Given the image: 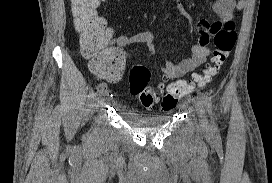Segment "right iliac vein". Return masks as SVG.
Listing matches in <instances>:
<instances>
[{"label":"right iliac vein","mask_w":272,"mask_h":183,"mask_svg":"<svg viewBox=\"0 0 272 183\" xmlns=\"http://www.w3.org/2000/svg\"><path fill=\"white\" fill-rule=\"evenodd\" d=\"M109 94L108 90H104L102 92H99V101L101 102L105 96Z\"/></svg>","instance_id":"obj_1"}]
</instances>
